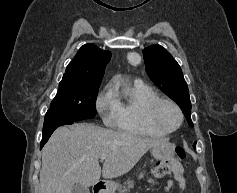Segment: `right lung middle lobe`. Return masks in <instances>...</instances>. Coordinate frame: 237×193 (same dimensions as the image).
<instances>
[{"mask_svg": "<svg viewBox=\"0 0 237 193\" xmlns=\"http://www.w3.org/2000/svg\"><path fill=\"white\" fill-rule=\"evenodd\" d=\"M98 89L99 85L60 82L46 115L62 116L73 121L94 118Z\"/></svg>", "mask_w": 237, "mask_h": 193, "instance_id": "dd1d6c3e", "label": "right lung middle lobe"}]
</instances>
